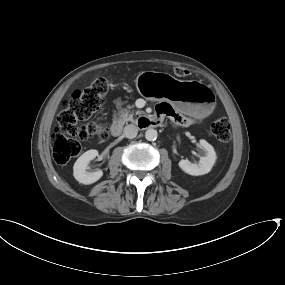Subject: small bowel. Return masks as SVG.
<instances>
[{
    "label": "small bowel",
    "instance_id": "obj_1",
    "mask_svg": "<svg viewBox=\"0 0 285 285\" xmlns=\"http://www.w3.org/2000/svg\"><path fill=\"white\" fill-rule=\"evenodd\" d=\"M156 114H157V120L160 121L164 117L172 115L173 114V109L169 105L159 104V105L156 106ZM175 120H176V117H175ZM176 122L179 123V124L189 125V124L193 123V120L184 117L182 122H178V121H176Z\"/></svg>",
    "mask_w": 285,
    "mask_h": 285
}]
</instances>
